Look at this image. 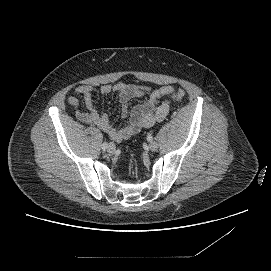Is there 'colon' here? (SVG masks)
Segmentation results:
<instances>
[{
  "label": "colon",
  "instance_id": "5ec220e1",
  "mask_svg": "<svg viewBox=\"0 0 271 271\" xmlns=\"http://www.w3.org/2000/svg\"><path fill=\"white\" fill-rule=\"evenodd\" d=\"M185 97V92L183 90H177L170 94V98L173 100H181Z\"/></svg>",
  "mask_w": 271,
  "mask_h": 271
}]
</instances>
